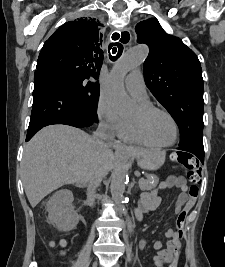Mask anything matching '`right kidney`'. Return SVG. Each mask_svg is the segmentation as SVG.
Masks as SVG:
<instances>
[{
	"instance_id": "ca27d5eb",
	"label": "right kidney",
	"mask_w": 225,
	"mask_h": 267,
	"mask_svg": "<svg viewBox=\"0 0 225 267\" xmlns=\"http://www.w3.org/2000/svg\"><path fill=\"white\" fill-rule=\"evenodd\" d=\"M73 194L70 190H59L47 202L49 220L63 231L76 227L79 216L73 207Z\"/></svg>"
}]
</instances>
